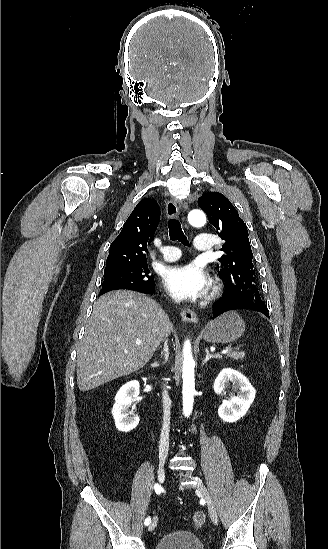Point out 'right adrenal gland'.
<instances>
[{
    "instance_id": "right-adrenal-gland-1",
    "label": "right adrenal gland",
    "mask_w": 328,
    "mask_h": 549,
    "mask_svg": "<svg viewBox=\"0 0 328 549\" xmlns=\"http://www.w3.org/2000/svg\"><path fill=\"white\" fill-rule=\"evenodd\" d=\"M163 349H164V351H165L163 363H166V361H167V359H168V357H169V351H168L167 343H164ZM161 355H163V353H161ZM156 365H157V363H156Z\"/></svg>"
}]
</instances>
